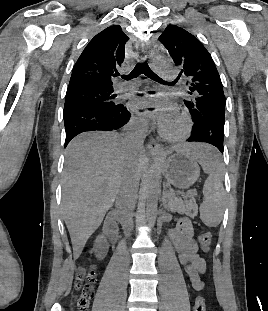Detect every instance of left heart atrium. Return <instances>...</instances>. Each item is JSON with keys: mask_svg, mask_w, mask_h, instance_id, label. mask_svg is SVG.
Returning a JSON list of instances; mask_svg holds the SVG:
<instances>
[{"mask_svg": "<svg viewBox=\"0 0 268 311\" xmlns=\"http://www.w3.org/2000/svg\"><path fill=\"white\" fill-rule=\"evenodd\" d=\"M158 96H165V95L163 94L146 95V97H158ZM154 104H159L163 106L162 108L155 109L154 113L151 114L152 119H154L158 124L165 125L175 117L176 108L174 104L168 99H164L160 102H149L146 101L145 99L134 97L130 100L129 103L130 107L133 109H143Z\"/></svg>", "mask_w": 268, "mask_h": 311, "instance_id": "obj_1", "label": "left heart atrium"}]
</instances>
